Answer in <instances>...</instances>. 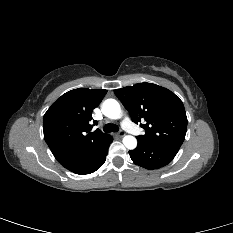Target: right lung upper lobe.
I'll return each mask as SVG.
<instances>
[{"mask_svg":"<svg viewBox=\"0 0 233 233\" xmlns=\"http://www.w3.org/2000/svg\"><path fill=\"white\" fill-rule=\"evenodd\" d=\"M106 93L107 90L87 88L71 90L58 98L44 115L45 141L57 161L70 171L80 167L109 137L99 129L90 132L92 111Z\"/></svg>","mask_w":233,"mask_h":233,"instance_id":"1","label":"right lung upper lobe"}]
</instances>
